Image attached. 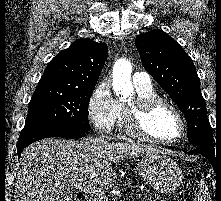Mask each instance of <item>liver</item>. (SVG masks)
<instances>
[{
    "label": "liver",
    "instance_id": "6515ba94",
    "mask_svg": "<svg viewBox=\"0 0 221 201\" xmlns=\"http://www.w3.org/2000/svg\"><path fill=\"white\" fill-rule=\"evenodd\" d=\"M157 151L101 138L35 142L23 150L17 164L14 201H72L66 190L70 182L108 186L116 177L112 163Z\"/></svg>",
    "mask_w": 221,
    "mask_h": 201
}]
</instances>
